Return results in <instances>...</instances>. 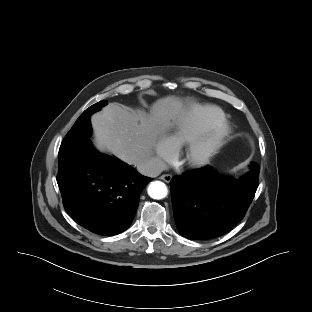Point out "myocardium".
I'll return each mask as SVG.
<instances>
[{
  "instance_id": "obj_1",
  "label": "myocardium",
  "mask_w": 312,
  "mask_h": 312,
  "mask_svg": "<svg viewBox=\"0 0 312 312\" xmlns=\"http://www.w3.org/2000/svg\"><path fill=\"white\" fill-rule=\"evenodd\" d=\"M231 134V125L227 121H223L187 142L184 144L181 155L183 164L190 168L206 165L223 147Z\"/></svg>"
}]
</instances>
